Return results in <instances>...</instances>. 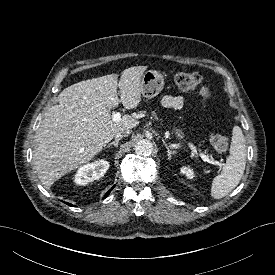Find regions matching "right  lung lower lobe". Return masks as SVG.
I'll use <instances>...</instances> for the list:
<instances>
[{"label": "right lung lower lobe", "mask_w": 275, "mask_h": 275, "mask_svg": "<svg viewBox=\"0 0 275 275\" xmlns=\"http://www.w3.org/2000/svg\"><path fill=\"white\" fill-rule=\"evenodd\" d=\"M114 187H112L105 195H104V198H106L108 195H109V193L111 192V190L113 189ZM69 206H73V205H71V204H69V203H67Z\"/></svg>", "instance_id": "obj_1"}]
</instances>
